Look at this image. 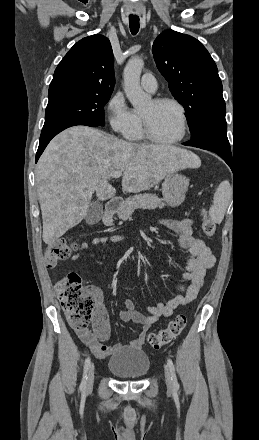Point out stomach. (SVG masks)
Wrapping results in <instances>:
<instances>
[{"label": "stomach", "mask_w": 259, "mask_h": 440, "mask_svg": "<svg viewBox=\"0 0 259 440\" xmlns=\"http://www.w3.org/2000/svg\"><path fill=\"white\" fill-rule=\"evenodd\" d=\"M189 186V179L178 173H169L162 184V195L167 205L179 206L185 199Z\"/></svg>", "instance_id": "stomach-1"}]
</instances>
